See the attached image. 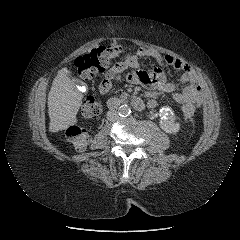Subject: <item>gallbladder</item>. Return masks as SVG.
I'll return each mask as SVG.
<instances>
[{
	"label": "gallbladder",
	"mask_w": 240,
	"mask_h": 240,
	"mask_svg": "<svg viewBox=\"0 0 240 240\" xmlns=\"http://www.w3.org/2000/svg\"><path fill=\"white\" fill-rule=\"evenodd\" d=\"M73 80V82L76 84V85H80L81 84V82L79 81V80H77V79H72Z\"/></svg>",
	"instance_id": "1"
}]
</instances>
